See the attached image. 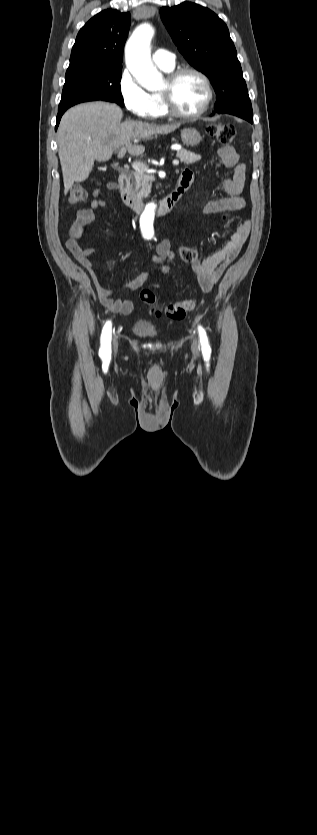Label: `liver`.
<instances>
[{
  "instance_id": "liver-1",
  "label": "liver",
  "mask_w": 317,
  "mask_h": 835,
  "mask_svg": "<svg viewBox=\"0 0 317 835\" xmlns=\"http://www.w3.org/2000/svg\"><path fill=\"white\" fill-rule=\"evenodd\" d=\"M122 117L119 106L102 101L76 105L62 116L57 133L65 194L74 182L88 178L95 160L108 161L122 146L131 156H141L145 147L133 145L131 140L169 134L180 126L133 120L121 123Z\"/></svg>"
}]
</instances>
